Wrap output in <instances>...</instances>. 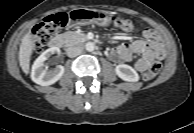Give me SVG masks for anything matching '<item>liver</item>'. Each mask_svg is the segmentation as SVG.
Wrapping results in <instances>:
<instances>
[{
    "label": "liver",
    "mask_w": 194,
    "mask_h": 133,
    "mask_svg": "<svg viewBox=\"0 0 194 133\" xmlns=\"http://www.w3.org/2000/svg\"><path fill=\"white\" fill-rule=\"evenodd\" d=\"M34 48H35V44H34L33 35L30 33H27L23 37L19 48V64L22 71L25 74L29 73L30 58Z\"/></svg>",
    "instance_id": "1"
}]
</instances>
